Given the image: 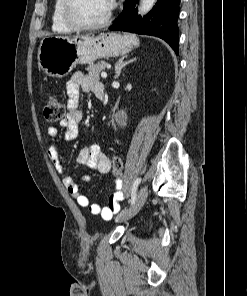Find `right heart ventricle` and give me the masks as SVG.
<instances>
[{
  "label": "right heart ventricle",
  "mask_w": 247,
  "mask_h": 296,
  "mask_svg": "<svg viewBox=\"0 0 247 296\" xmlns=\"http://www.w3.org/2000/svg\"><path fill=\"white\" fill-rule=\"evenodd\" d=\"M64 0H55L51 14V28L54 32L59 34H69L74 30L71 29L64 21L62 10Z\"/></svg>",
  "instance_id": "right-heart-ventricle-1"
}]
</instances>
